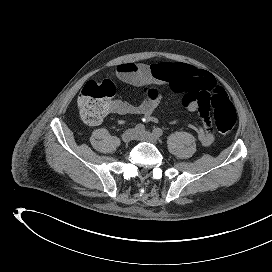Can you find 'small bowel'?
<instances>
[{
	"instance_id": "1",
	"label": "small bowel",
	"mask_w": 272,
	"mask_h": 272,
	"mask_svg": "<svg viewBox=\"0 0 272 272\" xmlns=\"http://www.w3.org/2000/svg\"><path fill=\"white\" fill-rule=\"evenodd\" d=\"M116 76L121 81L144 89V99L139 104L125 100L113 101L109 113L121 115H139L145 121L157 122L154 113L160 103V95L154 96L153 84L167 85L183 95L182 103L190 112H199L197 121L190 124L203 146H209L214 140L210 127L213 117L208 113L209 98L217 90H223L215 77L208 71L184 63L163 62L153 65L126 62L116 68ZM177 123L176 120L172 121Z\"/></svg>"
}]
</instances>
